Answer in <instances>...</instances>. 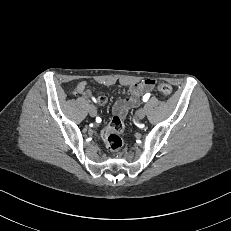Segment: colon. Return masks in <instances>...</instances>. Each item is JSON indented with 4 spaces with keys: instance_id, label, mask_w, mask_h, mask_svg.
Segmentation results:
<instances>
[{
    "instance_id": "obj_1",
    "label": "colon",
    "mask_w": 231,
    "mask_h": 231,
    "mask_svg": "<svg viewBox=\"0 0 231 231\" xmlns=\"http://www.w3.org/2000/svg\"><path fill=\"white\" fill-rule=\"evenodd\" d=\"M157 89L165 96L172 93V87L167 83H156ZM125 125L120 116H114L108 125L102 130L101 135L106 144V147L114 153L119 152L123 147L122 133L124 132Z\"/></svg>"
}]
</instances>
